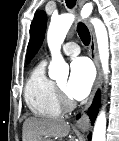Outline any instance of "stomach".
<instances>
[{"label": "stomach", "mask_w": 119, "mask_h": 141, "mask_svg": "<svg viewBox=\"0 0 119 141\" xmlns=\"http://www.w3.org/2000/svg\"><path fill=\"white\" fill-rule=\"evenodd\" d=\"M34 141H49V139L48 138H43V139H36Z\"/></svg>", "instance_id": "0dacf381"}]
</instances>
